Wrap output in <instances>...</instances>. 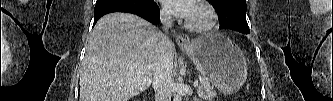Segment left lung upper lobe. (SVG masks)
<instances>
[{
	"instance_id": "obj_1",
	"label": "left lung upper lobe",
	"mask_w": 333,
	"mask_h": 101,
	"mask_svg": "<svg viewBox=\"0 0 333 101\" xmlns=\"http://www.w3.org/2000/svg\"><path fill=\"white\" fill-rule=\"evenodd\" d=\"M212 3L213 7L216 9L217 14L220 16L225 23H232V21L238 20L240 22L246 21V7H239L237 1L235 0H223L220 5L219 0H208Z\"/></svg>"
}]
</instances>
